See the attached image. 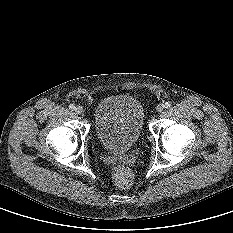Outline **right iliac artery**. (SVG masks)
Listing matches in <instances>:
<instances>
[{"mask_svg": "<svg viewBox=\"0 0 233 233\" xmlns=\"http://www.w3.org/2000/svg\"><path fill=\"white\" fill-rule=\"evenodd\" d=\"M75 108H76V107H75L74 104H70V105H69V109H70V110H75Z\"/></svg>", "mask_w": 233, "mask_h": 233, "instance_id": "1", "label": "right iliac artery"}]
</instances>
